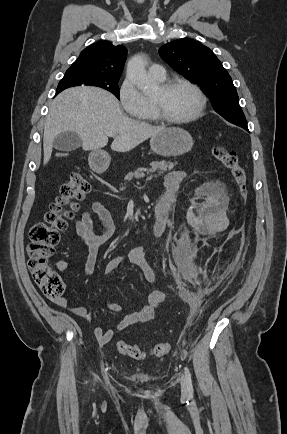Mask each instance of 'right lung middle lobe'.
Wrapping results in <instances>:
<instances>
[{
	"instance_id": "right-lung-middle-lobe-1",
	"label": "right lung middle lobe",
	"mask_w": 287,
	"mask_h": 434,
	"mask_svg": "<svg viewBox=\"0 0 287 434\" xmlns=\"http://www.w3.org/2000/svg\"><path fill=\"white\" fill-rule=\"evenodd\" d=\"M118 82L119 78L99 77L79 72L66 71L65 76L58 84L57 90L62 91L66 88L77 85H92L108 90L120 99Z\"/></svg>"
}]
</instances>
